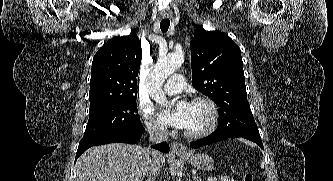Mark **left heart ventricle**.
Listing matches in <instances>:
<instances>
[{
    "instance_id": "obj_1",
    "label": "left heart ventricle",
    "mask_w": 333,
    "mask_h": 181,
    "mask_svg": "<svg viewBox=\"0 0 333 181\" xmlns=\"http://www.w3.org/2000/svg\"><path fill=\"white\" fill-rule=\"evenodd\" d=\"M208 122L207 108L202 104H191L190 119L185 130L197 131L203 128Z\"/></svg>"
}]
</instances>
